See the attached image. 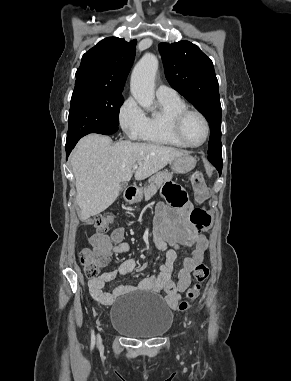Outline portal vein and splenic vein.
Here are the masks:
<instances>
[{
    "mask_svg": "<svg viewBox=\"0 0 291 381\" xmlns=\"http://www.w3.org/2000/svg\"><path fill=\"white\" fill-rule=\"evenodd\" d=\"M138 164L133 165V170H137Z\"/></svg>",
    "mask_w": 291,
    "mask_h": 381,
    "instance_id": "obj_1",
    "label": "portal vein and splenic vein"
}]
</instances>
